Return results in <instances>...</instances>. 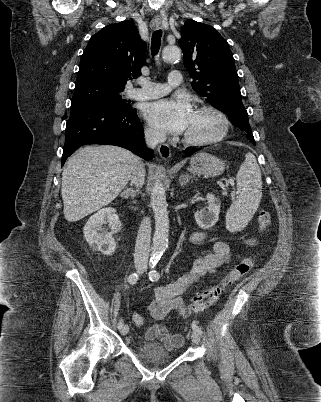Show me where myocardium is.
I'll return each instance as SVG.
<instances>
[{
  "mask_svg": "<svg viewBox=\"0 0 321 402\" xmlns=\"http://www.w3.org/2000/svg\"><path fill=\"white\" fill-rule=\"evenodd\" d=\"M195 111L197 112H210L214 114L220 121V129L219 131L211 137L208 138H195L191 137L189 135L184 134L183 141L191 146H206V145H211L214 143H217L221 141L228 133L229 127H230V122L226 114L221 111L220 109L211 106V105H201L198 106Z\"/></svg>",
  "mask_w": 321,
  "mask_h": 402,
  "instance_id": "obj_1",
  "label": "myocardium"
}]
</instances>
